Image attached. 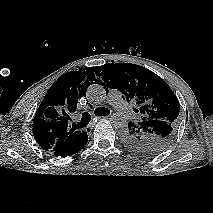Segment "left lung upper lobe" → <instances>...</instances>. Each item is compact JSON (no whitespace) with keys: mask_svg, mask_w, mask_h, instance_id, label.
Wrapping results in <instances>:
<instances>
[{"mask_svg":"<svg viewBox=\"0 0 213 213\" xmlns=\"http://www.w3.org/2000/svg\"><path fill=\"white\" fill-rule=\"evenodd\" d=\"M95 72L102 76L104 83L98 80L100 84L119 89L128 102L137 105L134 112L138 119L122 132L125 145L141 155L165 150L175 138L180 111L169 85L149 69L132 63H107Z\"/></svg>","mask_w":213,"mask_h":213,"instance_id":"5c2ea615","label":"left lung upper lobe"}]
</instances>
